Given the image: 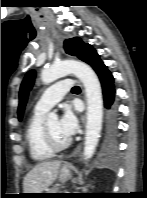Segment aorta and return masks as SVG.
<instances>
[{"label": "aorta", "mask_w": 147, "mask_h": 198, "mask_svg": "<svg viewBox=\"0 0 147 198\" xmlns=\"http://www.w3.org/2000/svg\"><path fill=\"white\" fill-rule=\"evenodd\" d=\"M70 73L78 77L83 83L87 97V123L84 143V157L87 160L94 154L102 126L103 98L97 75L85 63L67 60L44 68L41 73V80L47 85ZM46 119L47 123H51L56 121L58 116L52 112L47 115Z\"/></svg>", "instance_id": "aorta-1"}]
</instances>
